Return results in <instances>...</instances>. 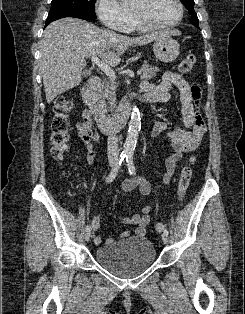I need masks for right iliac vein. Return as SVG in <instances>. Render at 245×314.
Wrapping results in <instances>:
<instances>
[{
    "label": "right iliac vein",
    "instance_id": "1",
    "mask_svg": "<svg viewBox=\"0 0 245 314\" xmlns=\"http://www.w3.org/2000/svg\"><path fill=\"white\" fill-rule=\"evenodd\" d=\"M113 166H114V164H111V167H113ZM90 237H91V231L86 232V234H85L86 241H89Z\"/></svg>",
    "mask_w": 245,
    "mask_h": 314
}]
</instances>
